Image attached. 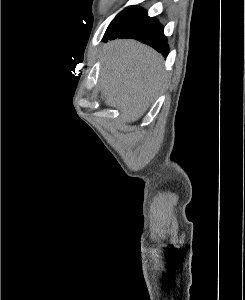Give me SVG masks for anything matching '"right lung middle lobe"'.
Segmentation results:
<instances>
[{
    "instance_id": "dd1d6c3e",
    "label": "right lung middle lobe",
    "mask_w": 245,
    "mask_h": 300,
    "mask_svg": "<svg viewBox=\"0 0 245 300\" xmlns=\"http://www.w3.org/2000/svg\"><path fill=\"white\" fill-rule=\"evenodd\" d=\"M147 16V12L138 5L130 6L119 13L109 25L105 37L119 34Z\"/></svg>"
}]
</instances>
